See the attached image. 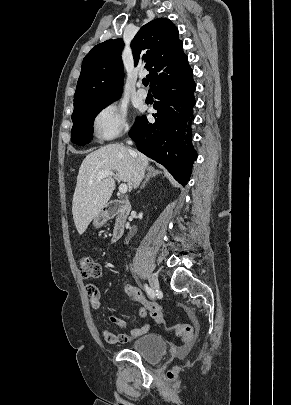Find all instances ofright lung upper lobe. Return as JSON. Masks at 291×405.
Here are the masks:
<instances>
[{"label": "right lung upper lobe", "instance_id": "right-lung-upper-lobe-1", "mask_svg": "<svg viewBox=\"0 0 291 405\" xmlns=\"http://www.w3.org/2000/svg\"><path fill=\"white\" fill-rule=\"evenodd\" d=\"M122 39L96 45L84 58L74 95V111L107 103L120 96L123 84ZM178 29L165 18L144 25L131 42L135 65L150 73V87L191 71Z\"/></svg>", "mask_w": 291, "mask_h": 405}]
</instances>
